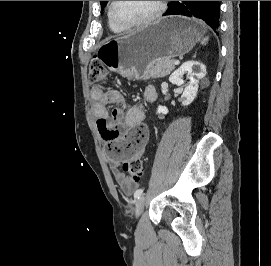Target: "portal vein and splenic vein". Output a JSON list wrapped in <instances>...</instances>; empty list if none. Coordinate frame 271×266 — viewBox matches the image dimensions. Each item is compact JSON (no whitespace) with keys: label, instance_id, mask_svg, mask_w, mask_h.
<instances>
[{"label":"portal vein and splenic vein","instance_id":"1","mask_svg":"<svg viewBox=\"0 0 271 266\" xmlns=\"http://www.w3.org/2000/svg\"><path fill=\"white\" fill-rule=\"evenodd\" d=\"M174 64H175V65H179V64H180V61H179V60H175V61H174Z\"/></svg>","mask_w":271,"mask_h":266}]
</instances>
